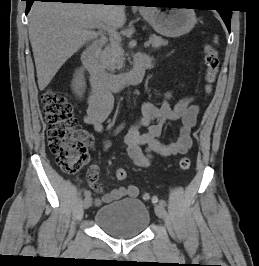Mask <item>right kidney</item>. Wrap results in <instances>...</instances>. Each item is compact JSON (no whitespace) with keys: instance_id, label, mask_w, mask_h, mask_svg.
<instances>
[{"instance_id":"right-kidney-1","label":"right kidney","mask_w":259,"mask_h":266,"mask_svg":"<svg viewBox=\"0 0 259 266\" xmlns=\"http://www.w3.org/2000/svg\"><path fill=\"white\" fill-rule=\"evenodd\" d=\"M86 82L82 70H77L72 82V89L76 95L81 97L85 91Z\"/></svg>"}]
</instances>
